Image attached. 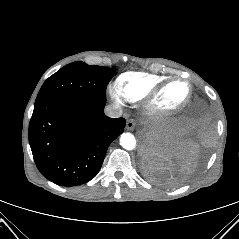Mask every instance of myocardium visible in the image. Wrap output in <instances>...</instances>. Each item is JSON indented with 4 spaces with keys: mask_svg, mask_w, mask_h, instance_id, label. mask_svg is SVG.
I'll use <instances>...</instances> for the list:
<instances>
[{
    "mask_svg": "<svg viewBox=\"0 0 239 239\" xmlns=\"http://www.w3.org/2000/svg\"><path fill=\"white\" fill-rule=\"evenodd\" d=\"M183 83L187 87V94L185 98L176 106L171 108L163 107L160 104V98L163 93L173 84ZM192 96V86L188 80L182 78H174L167 80L151 90L145 97V107L151 115L156 116H171L183 110L189 103Z\"/></svg>",
    "mask_w": 239,
    "mask_h": 239,
    "instance_id": "myocardium-1",
    "label": "myocardium"
}]
</instances>
